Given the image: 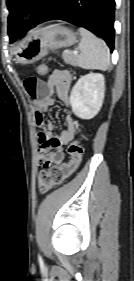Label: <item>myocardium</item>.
I'll list each match as a JSON object with an SVG mask.
<instances>
[{
  "label": "myocardium",
  "mask_w": 134,
  "mask_h": 281,
  "mask_svg": "<svg viewBox=\"0 0 134 281\" xmlns=\"http://www.w3.org/2000/svg\"><path fill=\"white\" fill-rule=\"evenodd\" d=\"M40 4V1L37 0L27 2L22 9V17L25 20L33 18L38 9L40 8Z\"/></svg>",
  "instance_id": "obj_1"
}]
</instances>
